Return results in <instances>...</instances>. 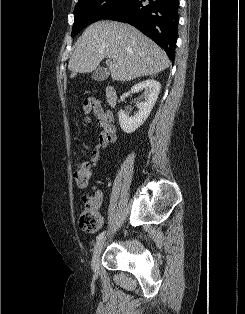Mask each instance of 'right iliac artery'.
I'll use <instances>...</instances> for the list:
<instances>
[{
	"mask_svg": "<svg viewBox=\"0 0 245 314\" xmlns=\"http://www.w3.org/2000/svg\"><path fill=\"white\" fill-rule=\"evenodd\" d=\"M106 231L101 232L97 237H96V241H99L100 239H102L105 235Z\"/></svg>",
	"mask_w": 245,
	"mask_h": 314,
	"instance_id": "1",
	"label": "right iliac artery"
}]
</instances>
